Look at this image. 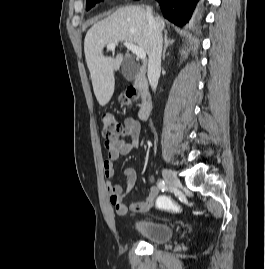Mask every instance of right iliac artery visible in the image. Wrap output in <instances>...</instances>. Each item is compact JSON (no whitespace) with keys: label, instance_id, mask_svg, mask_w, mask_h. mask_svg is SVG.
Returning <instances> with one entry per match:
<instances>
[{"label":"right iliac artery","instance_id":"right-iliac-artery-1","mask_svg":"<svg viewBox=\"0 0 265 269\" xmlns=\"http://www.w3.org/2000/svg\"><path fill=\"white\" fill-rule=\"evenodd\" d=\"M157 186L162 192H164L167 189V186L163 180H159L157 182Z\"/></svg>","mask_w":265,"mask_h":269}]
</instances>
